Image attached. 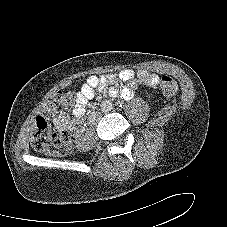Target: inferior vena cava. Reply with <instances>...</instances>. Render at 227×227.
<instances>
[{
  "instance_id": "1",
  "label": "inferior vena cava",
  "mask_w": 227,
  "mask_h": 227,
  "mask_svg": "<svg viewBox=\"0 0 227 227\" xmlns=\"http://www.w3.org/2000/svg\"><path fill=\"white\" fill-rule=\"evenodd\" d=\"M105 103H106V101H103V102H102V105H104Z\"/></svg>"
}]
</instances>
